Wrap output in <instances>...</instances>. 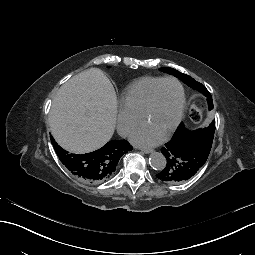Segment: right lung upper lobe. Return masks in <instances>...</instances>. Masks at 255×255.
Segmentation results:
<instances>
[{"instance_id":"cb5924a9","label":"right lung upper lobe","mask_w":255,"mask_h":255,"mask_svg":"<svg viewBox=\"0 0 255 255\" xmlns=\"http://www.w3.org/2000/svg\"><path fill=\"white\" fill-rule=\"evenodd\" d=\"M51 142L59 159L66 168H68V170L77 178L90 183H100L113 176L120 157L132 150L131 145L126 140H112L96 151L81 155H72L61 148L53 138H51ZM85 155H92L93 157H98L100 159V175L91 180L83 178V157Z\"/></svg>"}]
</instances>
